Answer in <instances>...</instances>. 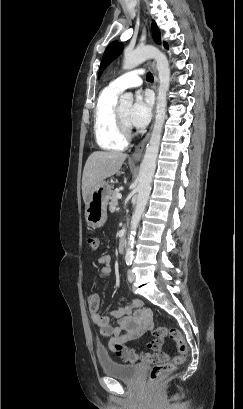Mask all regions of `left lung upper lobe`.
Listing matches in <instances>:
<instances>
[{"label":"left lung upper lobe","mask_w":243,"mask_h":409,"mask_svg":"<svg viewBox=\"0 0 243 409\" xmlns=\"http://www.w3.org/2000/svg\"><path fill=\"white\" fill-rule=\"evenodd\" d=\"M152 31H153V39L156 43H161V35L160 31L155 22L152 24ZM164 46L167 48V44L164 42ZM123 46L118 41H113L108 45L106 48L101 65L99 70V76L101 75L102 71L107 67V65L112 62L122 51Z\"/></svg>","instance_id":"1"}]
</instances>
